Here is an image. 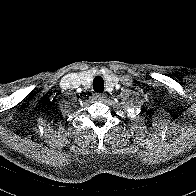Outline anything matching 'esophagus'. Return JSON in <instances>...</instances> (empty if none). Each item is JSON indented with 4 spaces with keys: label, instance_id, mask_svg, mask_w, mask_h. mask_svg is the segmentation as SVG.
Returning <instances> with one entry per match:
<instances>
[{
    "label": "esophagus",
    "instance_id": "34e87169",
    "mask_svg": "<svg viewBox=\"0 0 196 196\" xmlns=\"http://www.w3.org/2000/svg\"><path fill=\"white\" fill-rule=\"evenodd\" d=\"M94 99H95V100H98V101H102V100L104 99V95L101 94V93H96V94L94 95Z\"/></svg>",
    "mask_w": 196,
    "mask_h": 196
}]
</instances>
